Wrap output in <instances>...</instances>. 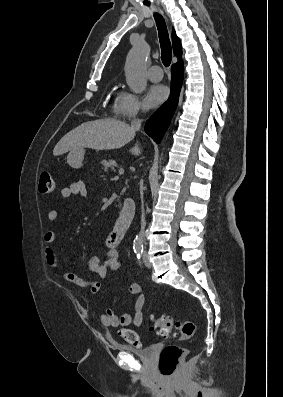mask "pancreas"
Segmentation results:
<instances>
[{
  "label": "pancreas",
  "instance_id": "obj_1",
  "mask_svg": "<svg viewBox=\"0 0 283 397\" xmlns=\"http://www.w3.org/2000/svg\"><path fill=\"white\" fill-rule=\"evenodd\" d=\"M101 164H102V169L105 172H108V170H115V168L119 167L114 160H109V161L103 160Z\"/></svg>",
  "mask_w": 283,
  "mask_h": 397
}]
</instances>
